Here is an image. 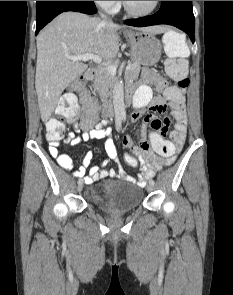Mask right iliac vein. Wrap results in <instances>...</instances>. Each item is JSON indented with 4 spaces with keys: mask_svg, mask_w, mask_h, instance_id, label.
<instances>
[{
    "mask_svg": "<svg viewBox=\"0 0 233 295\" xmlns=\"http://www.w3.org/2000/svg\"><path fill=\"white\" fill-rule=\"evenodd\" d=\"M83 184H84L83 179H79V180H78V185H77V191H78V192H81V191H82V189H83Z\"/></svg>",
    "mask_w": 233,
    "mask_h": 295,
    "instance_id": "63e3f726",
    "label": "right iliac vein"
}]
</instances>
